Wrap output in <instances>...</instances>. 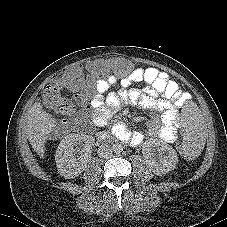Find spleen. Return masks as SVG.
<instances>
[{"instance_id":"1","label":"spleen","mask_w":227,"mask_h":227,"mask_svg":"<svg viewBox=\"0 0 227 227\" xmlns=\"http://www.w3.org/2000/svg\"><path fill=\"white\" fill-rule=\"evenodd\" d=\"M182 120V140L185 149L191 153H198L205 146L203 133V119L200 109L193 102H186L179 109Z\"/></svg>"}]
</instances>
